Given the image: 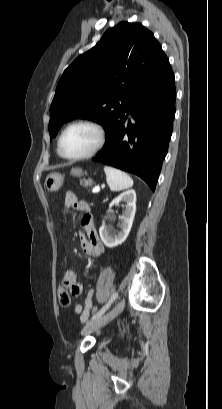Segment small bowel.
Returning <instances> with one entry per match:
<instances>
[{"mask_svg":"<svg viewBox=\"0 0 222 409\" xmlns=\"http://www.w3.org/2000/svg\"><path fill=\"white\" fill-rule=\"evenodd\" d=\"M70 210H75L82 214L79 237L84 253L92 257L100 256L104 248L97 234L89 204L84 200H79L72 192H68L64 199L63 215L66 216ZM73 274L74 271L72 269L65 273L63 277L64 284L69 285L73 297H81L83 283L77 281L76 275L73 276ZM94 294V289H89L83 304L76 303L74 306V312L80 316L81 322H86L91 314L90 310L93 307Z\"/></svg>","mask_w":222,"mask_h":409,"instance_id":"1","label":"small bowel"}]
</instances>
